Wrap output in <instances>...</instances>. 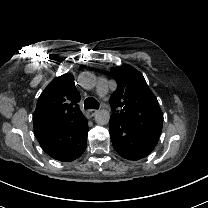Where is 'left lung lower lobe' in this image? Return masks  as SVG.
<instances>
[{"instance_id":"0a47b994","label":"left lung lower lobe","mask_w":208,"mask_h":208,"mask_svg":"<svg viewBox=\"0 0 208 208\" xmlns=\"http://www.w3.org/2000/svg\"><path fill=\"white\" fill-rule=\"evenodd\" d=\"M109 130L113 147L121 157L127 160L136 161L145 158L156 146L114 114L111 115L109 121Z\"/></svg>"}]
</instances>
